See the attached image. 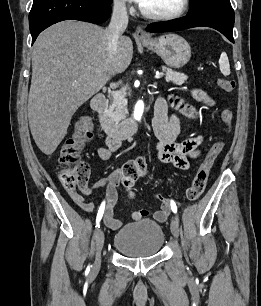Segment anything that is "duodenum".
Instances as JSON below:
<instances>
[{
  "label": "duodenum",
  "instance_id": "1",
  "mask_svg": "<svg viewBox=\"0 0 261 306\" xmlns=\"http://www.w3.org/2000/svg\"><path fill=\"white\" fill-rule=\"evenodd\" d=\"M91 107L97 113L101 127L108 137L123 140L137 131L138 125L135 120L117 121L109 115L106 97L103 94H96L92 98Z\"/></svg>",
  "mask_w": 261,
  "mask_h": 306
}]
</instances>
